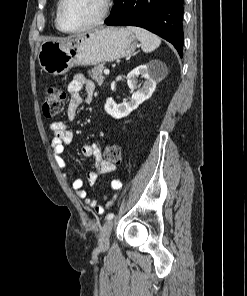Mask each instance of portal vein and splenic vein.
Instances as JSON below:
<instances>
[{
	"label": "portal vein and splenic vein",
	"instance_id": "obj_1",
	"mask_svg": "<svg viewBox=\"0 0 247 296\" xmlns=\"http://www.w3.org/2000/svg\"><path fill=\"white\" fill-rule=\"evenodd\" d=\"M110 73L109 69H104V74L108 75Z\"/></svg>",
	"mask_w": 247,
	"mask_h": 296
}]
</instances>
